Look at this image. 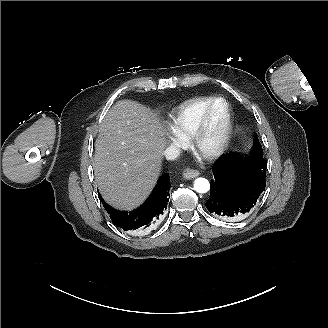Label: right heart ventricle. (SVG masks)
<instances>
[{
    "label": "right heart ventricle",
    "instance_id": "right-heart-ventricle-1",
    "mask_svg": "<svg viewBox=\"0 0 328 328\" xmlns=\"http://www.w3.org/2000/svg\"><path fill=\"white\" fill-rule=\"evenodd\" d=\"M214 96H199L176 105L175 117L169 129L178 139L181 146L187 142L190 126L197 113L209 105Z\"/></svg>",
    "mask_w": 328,
    "mask_h": 328
}]
</instances>
